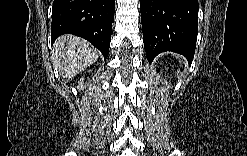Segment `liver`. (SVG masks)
Returning a JSON list of instances; mask_svg holds the SVG:
<instances>
[{
    "mask_svg": "<svg viewBox=\"0 0 247 156\" xmlns=\"http://www.w3.org/2000/svg\"><path fill=\"white\" fill-rule=\"evenodd\" d=\"M98 57V50L88 41L73 35H63L54 43L52 63L60 75L72 78L95 63Z\"/></svg>",
    "mask_w": 247,
    "mask_h": 156,
    "instance_id": "liver-1",
    "label": "liver"
}]
</instances>
